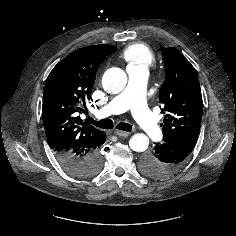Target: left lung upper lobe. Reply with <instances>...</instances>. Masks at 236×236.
Here are the masks:
<instances>
[{
	"label": "left lung upper lobe",
	"mask_w": 236,
	"mask_h": 236,
	"mask_svg": "<svg viewBox=\"0 0 236 236\" xmlns=\"http://www.w3.org/2000/svg\"><path fill=\"white\" fill-rule=\"evenodd\" d=\"M165 81L159 92L164 118V142L198 137L202 119V97L194 67L174 47L162 48Z\"/></svg>",
	"instance_id": "5c2ea615"
}]
</instances>
